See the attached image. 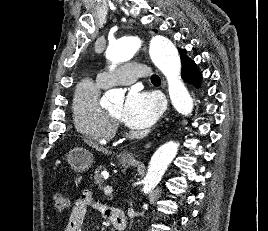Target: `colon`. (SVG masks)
<instances>
[{
  "mask_svg": "<svg viewBox=\"0 0 268 231\" xmlns=\"http://www.w3.org/2000/svg\"><path fill=\"white\" fill-rule=\"evenodd\" d=\"M57 210H66L70 205L68 196L61 190H55L52 195Z\"/></svg>",
  "mask_w": 268,
  "mask_h": 231,
  "instance_id": "colon-1",
  "label": "colon"
}]
</instances>
